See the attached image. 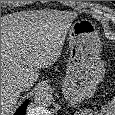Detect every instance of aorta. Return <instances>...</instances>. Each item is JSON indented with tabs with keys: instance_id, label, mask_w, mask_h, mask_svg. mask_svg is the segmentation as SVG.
<instances>
[{
	"instance_id": "762f6f07",
	"label": "aorta",
	"mask_w": 115,
	"mask_h": 115,
	"mask_svg": "<svg viewBox=\"0 0 115 115\" xmlns=\"http://www.w3.org/2000/svg\"><path fill=\"white\" fill-rule=\"evenodd\" d=\"M51 100H52L51 95L44 88L40 89L34 96V102L37 105L48 106L51 104Z\"/></svg>"
}]
</instances>
